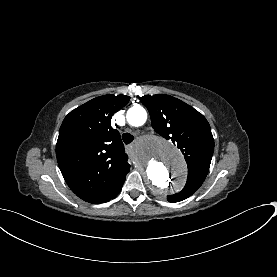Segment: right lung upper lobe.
Returning <instances> with one entry per match:
<instances>
[{
    "instance_id": "right-lung-upper-lobe-1",
    "label": "right lung upper lobe",
    "mask_w": 277,
    "mask_h": 277,
    "mask_svg": "<svg viewBox=\"0 0 277 277\" xmlns=\"http://www.w3.org/2000/svg\"><path fill=\"white\" fill-rule=\"evenodd\" d=\"M129 99L111 94L94 98L62 122L58 165L71 190L86 202L99 204L112 197L130 170L120 133L110 125L112 115Z\"/></svg>"
}]
</instances>
